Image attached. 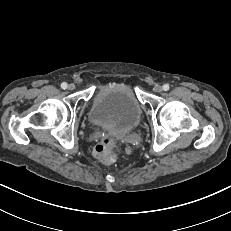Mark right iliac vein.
<instances>
[{
	"instance_id": "1",
	"label": "right iliac vein",
	"mask_w": 231,
	"mask_h": 231,
	"mask_svg": "<svg viewBox=\"0 0 231 231\" xmlns=\"http://www.w3.org/2000/svg\"><path fill=\"white\" fill-rule=\"evenodd\" d=\"M74 89H75V85L74 84L71 83V84L68 85V90L72 91Z\"/></svg>"
}]
</instances>
